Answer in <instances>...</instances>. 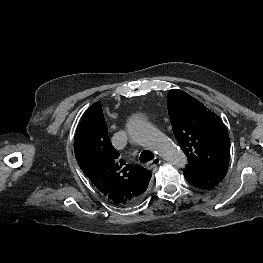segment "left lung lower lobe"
I'll use <instances>...</instances> for the list:
<instances>
[{
	"mask_svg": "<svg viewBox=\"0 0 263 263\" xmlns=\"http://www.w3.org/2000/svg\"><path fill=\"white\" fill-rule=\"evenodd\" d=\"M183 172L190 185L199 189H211L224 179L227 169L185 168Z\"/></svg>",
	"mask_w": 263,
	"mask_h": 263,
	"instance_id": "1",
	"label": "left lung lower lobe"
}]
</instances>
